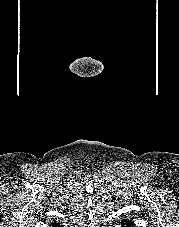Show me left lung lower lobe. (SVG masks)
I'll list each match as a JSON object with an SVG mask.
<instances>
[{"label":"left lung lower lobe","instance_id":"left-lung-lower-lobe-1","mask_svg":"<svg viewBox=\"0 0 179 227\" xmlns=\"http://www.w3.org/2000/svg\"><path fill=\"white\" fill-rule=\"evenodd\" d=\"M123 227H133V225H124L122 224Z\"/></svg>","mask_w":179,"mask_h":227}]
</instances>
